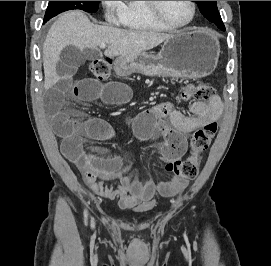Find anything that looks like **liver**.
I'll list each match as a JSON object with an SVG mask.
<instances>
[{"label": "liver", "instance_id": "6515ba94", "mask_svg": "<svg viewBox=\"0 0 271 266\" xmlns=\"http://www.w3.org/2000/svg\"><path fill=\"white\" fill-rule=\"evenodd\" d=\"M171 34L153 31L123 30L111 26H99L90 22L81 11H69L53 23L43 45L44 89L48 90L60 81L55 62L60 60L62 50L69 45L81 51L97 50L108 45L104 54L108 57L128 56L150 50Z\"/></svg>", "mask_w": 271, "mask_h": 266}]
</instances>
